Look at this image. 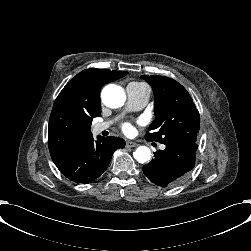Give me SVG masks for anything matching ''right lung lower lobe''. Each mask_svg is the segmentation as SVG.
Returning <instances> with one entry per match:
<instances>
[{"label":"right lung lower lobe","instance_id":"right-lung-lower-lobe-1","mask_svg":"<svg viewBox=\"0 0 251 251\" xmlns=\"http://www.w3.org/2000/svg\"><path fill=\"white\" fill-rule=\"evenodd\" d=\"M125 141L118 137H93L87 139L67 157L54 162L59 171L75 183L88 184L102 175L117 148H123Z\"/></svg>","mask_w":251,"mask_h":251}]
</instances>
